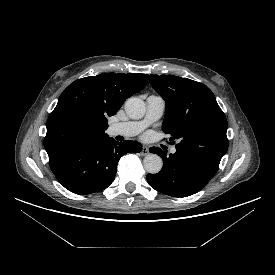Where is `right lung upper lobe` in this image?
Wrapping results in <instances>:
<instances>
[{
  "label": "right lung upper lobe",
  "mask_w": 275,
  "mask_h": 275,
  "mask_svg": "<svg viewBox=\"0 0 275 275\" xmlns=\"http://www.w3.org/2000/svg\"><path fill=\"white\" fill-rule=\"evenodd\" d=\"M147 81V74L102 73L71 83L47 120V153L108 138L107 117L115 115Z\"/></svg>",
  "instance_id": "cb5924a9"
}]
</instances>
